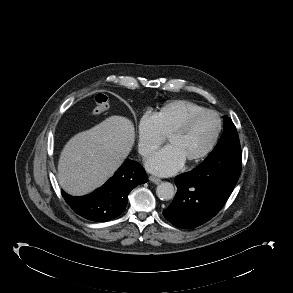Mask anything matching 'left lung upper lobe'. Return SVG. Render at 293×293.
<instances>
[{
  "instance_id": "obj_1",
  "label": "left lung upper lobe",
  "mask_w": 293,
  "mask_h": 293,
  "mask_svg": "<svg viewBox=\"0 0 293 293\" xmlns=\"http://www.w3.org/2000/svg\"><path fill=\"white\" fill-rule=\"evenodd\" d=\"M224 132L214 150L201 164H213L235 148H240L239 138L235 125L230 117L225 116L224 120Z\"/></svg>"
}]
</instances>
